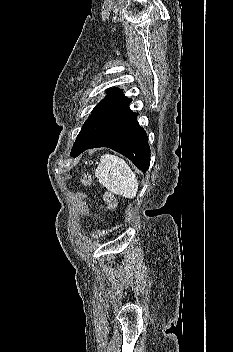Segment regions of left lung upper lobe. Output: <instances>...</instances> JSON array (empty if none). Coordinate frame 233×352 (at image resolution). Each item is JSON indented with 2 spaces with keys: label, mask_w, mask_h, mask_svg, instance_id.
<instances>
[{
  "label": "left lung upper lobe",
  "mask_w": 233,
  "mask_h": 352,
  "mask_svg": "<svg viewBox=\"0 0 233 352\" xmlns=\"http://www.w3.org/2000/svg\"><path fill=\"white\" fill-rule=\"evenodd\" d=\"M130 102L131 99L124 96L121 90L111 88L108 91L107 97L94 107L91 115L82 126L71 154L99 136L120 119L132 113L129 108Z\"/></svg>",
  "instance_id": "5c2ea615"
}]
</instances>
